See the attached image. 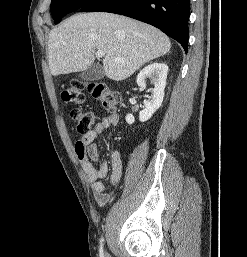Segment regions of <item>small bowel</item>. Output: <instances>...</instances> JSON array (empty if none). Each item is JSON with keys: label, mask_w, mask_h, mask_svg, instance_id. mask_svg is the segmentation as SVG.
<instances>
[{"label": "small bowel", "mask_w": 247, "mask_h": 257, "mask_svg": "<svg viewBox=\"0 0 247 257\" xmlns=\"http://www.w3.org/2000/svg\"><path fill=\"white\" fill-rule=\"evenodd\" d=\"M118 121L119 118L116 114L103 117L92 130L85 133L75 143L76 156L91 184L94 198L99 205H105L110 200L111 195L109 188L101 181L107 177L108 167L104 161L99 160L98 146L94 141L98 135L116 126ZM94 162H99V166L95 167ZM122 170L121 153L118 149H115L111 153V185L116 184L120 179Z\"/></svg>", "instance_id": "c3829d8e"}]
</instances>
